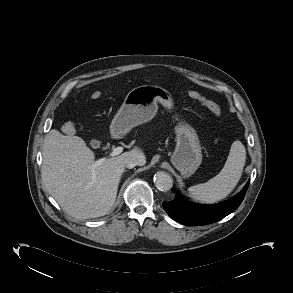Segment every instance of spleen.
<instances>
[{"mask_svg": "<svg viewBox=\"0 0 293 293\" xmlns=\"http://www.w3.org/2000/svg\"><path fill=\"white\" fill-rule=\"evenodd\" d=\"M245 160L246 149L244 145L240 141H234L220 173L206 183L189 187V196L202 203H215L226 198L238 184Z\"/></svg>", "mask_w": 293, "mask_h": 293, "instance_id": "obj_1", "label": "spleen"}]
</instances>
